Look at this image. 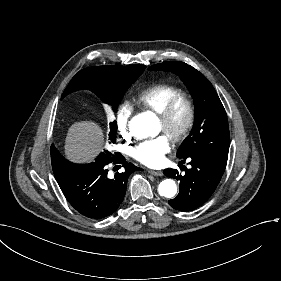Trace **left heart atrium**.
<instances>
[{"mask_svg": "<svg viewBox=\"0 0 281 281\" xmlns=\"http://www.w3.org/2000/svg\"><path fill=\"white\" fill-rule=\"evenodd\" d=\"M170 150L166 136H158L140 143L131 151L132 157L149 167H159L165 162V154Z\"/></svg>", "mask_w": 281, "mask_h": 281, "instance_id": "1", "label": "left heart atrium"}]
</instances>
